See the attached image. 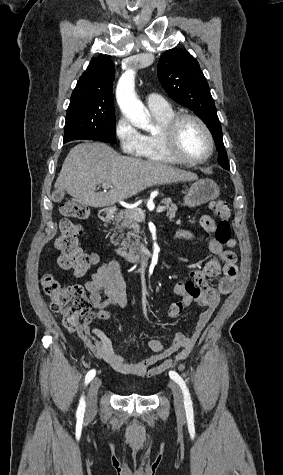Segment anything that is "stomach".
I'll return each instance as SVG.
<instances>
[{"mask_svg":"<svg viewBox=\"0 0 283 475\" xmlns=\"http://www.w3.org/2000/svg\"><path fill=\"white\" fill-rule=\"evenodd\" d=\"M219 194L220 190L213 180H198L190 186L184 198V206H188V208L201 206L210 200H216L219 198Z\"/></svg>","mask_w":283,"mask_h":475,"instance_id":"1","label":"stomach"}]
</instances>
